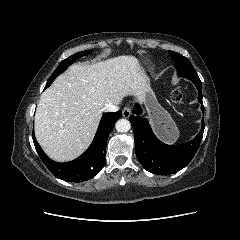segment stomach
Instances as JSON below:
<instances>
[{"label": "stomach", "instance_id": "stomach-1", "mask_svg": "<svg viewBox=\"0 0 240 240\" xmlns=\"http://www.w3.org/2000/svg\"><path fill=\"white\" fill-rule=\"evenodd\" d=\"M141 75L145 85V106L156 134L162 140L173 143L179 137V130L170 115L160 106L150 88L149 78L141 67Z\"/></svg>", "mask_w": 240, "mask_h": 240}]
</instances>
